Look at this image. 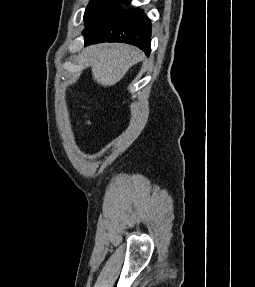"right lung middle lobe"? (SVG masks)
<instances>
[{"instance_id":"obj_1","label":"right lung middle lobe","mask_w":255,"mask_h":287,"mask_svg":"<svg viewBox=\"0 0 255 287\" xmlns=\"http://www.w3.org/2000/svg\"><path fill=\"white\" fill-rule=\"evenodd\" d=\"M129 2L130 0H90L84 14V32L119 12L123 9L121 4L127 5Z\"/></svg>"}]
</instances>
